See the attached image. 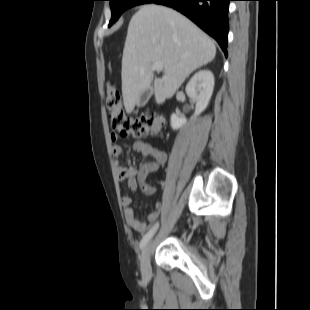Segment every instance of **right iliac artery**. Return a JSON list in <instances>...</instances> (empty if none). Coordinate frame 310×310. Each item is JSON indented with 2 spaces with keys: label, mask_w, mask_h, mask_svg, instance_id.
I'll list each match as a JSON object with an SVG mask.
<instances>
[{
  "label": "right iliac artery",
  "mask_w": 310,
  "mask_h": 310,
  "mask_svg": "<svg viewBox=\"0 0 310 310\" xmlns=\"http://www.w3.org/2000/svg\"><path fill=\"white\" fill-rule=\"evenodd\" d=\"M158 227V223H156L142 238L141 242H140V249L142 250L144 248V246L146 245V243L148 242V240L153 236V234L155 233L156 229Z\"/></svg>",
  "instance_id": "obj_1"
}]
</instances>
